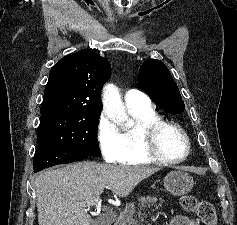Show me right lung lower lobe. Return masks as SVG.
<instances>
[{"label":"right lung lower lobe","mask_w":237,"mask_h":225,"mask_svg":"<svg viewBox=\"0 0 237 225\" xmlns=\"http://www.w3.org/2000/svg\"><path fill=\"white\" fill-rule=\"evenodd\" d=\"M87 157V154L69 149L39 146L34 155L33 169L38 172L50 166L80 161Z\"/></svg>","instance_id":"1"}]
</instances>
